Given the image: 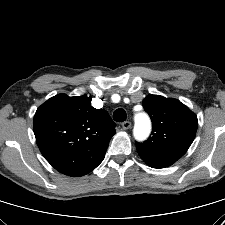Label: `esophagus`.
I'll list each match as a JSON object with an SVG mask.
<instances>
[{"mask_svg": "<svg viewBox=\"0 0 225 225\" xmlns=\"http://www.w3.org/2000/svg\"><path fill=\"white\" fill-rule=\"evenodd\" d=\"M131 125H132L131 122L125 121V122L122 123V128L124 130H128L131 127Z\"/></svg>", "mask_w": 225, "mask_h": 225, "instance_id": "obj_1", "label": "esophagus"}]
</instances>
